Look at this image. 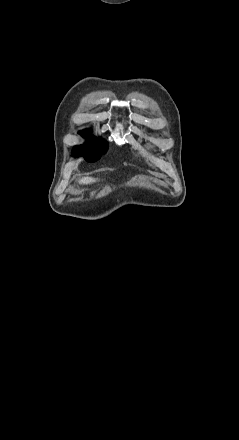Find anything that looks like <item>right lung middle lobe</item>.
<instances>
[{
	"instance_id": "dd1d6c3e",
	"label": "right lung middle lobe",
	"mask_w": 239,
	"mask_h": 440,
	"mask_svg": "<svg viewBox=\"0 0 239 440\" xmlns=\"http://www.w3.org/2000/svg\"><path fill=\"white\" fill-rule=\"evenodd\" d=\"M79 133L87 139V142L83 146L75 148L74 152H77L79 150H94L101 154H104L106 152L107 144L104 143L101 139L90 135V130L81 131Z\"/></svg>"
}]
</instances>
